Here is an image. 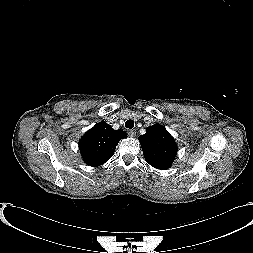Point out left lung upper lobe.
I'll return each mask as SVG.
<instances>
[{
  "label": "left lung upper lobe",
  "instance_id": "5c2ea615",
  "mask_svg": "<svg viewBox=\"0 0 253 253\" xmlns=\"http://www.w3.org/2000/svg\"><path fill=\"white\" fill-rule=\"evenodd\" d=\"M139 141L145 160L151 166L161 170L171 166L177 153V144L166 128L156 123L139 136Z\"/></svg>",
  "mask_w": 253,
  "mask_h": 253
}]
</instances>
